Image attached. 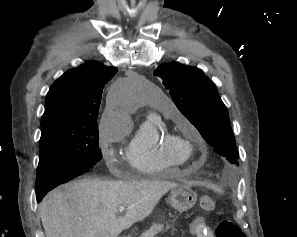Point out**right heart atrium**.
<instances>
[{
	"mask_svg": "<svg viewBox=\"0 0 297 237\" xmlns=\"http://www.w3.org/2000/svg\"><path fill=\"white\" fill-rule=\"evenodd\" d=\"M120 126V121L116 114L111 110H106L101 118L99 133L101 138L100 145L109 164H113L115 160L112 144L117 141L122 133Z\"/></svg>",
	"mask_w": 297,
	"mask_h": 237,
	"instance_id": "right-heart-atrium-1",
	"label": "right heart atrium"
}]
</instances>
